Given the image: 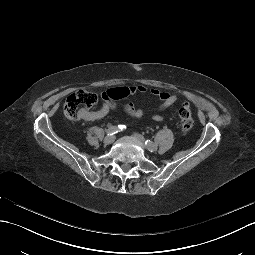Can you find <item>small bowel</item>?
<instances>
[{
  "label": "small bowel",
  "instance_id": "obj_1",
  "mask_svg": "<svg viewBox=\"0 0 255 255\" xmlns=\"http://www.w3.org/2000/svg\"><path fill=\"white\" fill-rule=\"evenodd\" d=\"M129 89L131 92H139V93L149 92L151 95L157 97L160 101V106L158 108V111H162L167 108H173L177 103V96L165 90H161L158 88H151L150 90H148L143 86L129 87ZM103 99L104 101L98 110L87 111L81 116V118L86 121H95L105 117L112 110L115 109L114 104L111 102V100L105 98L104 94H103ZM123 109H124V113L131 118L141 119L145 116V111L143 109H136L131 101H127L124 104ZM152 119L154 121L164 120V118L159 114H154L152 116Z\"/></svg>",
  "mask_w": 255,
  "mask_h": 255
}]
</instances>
